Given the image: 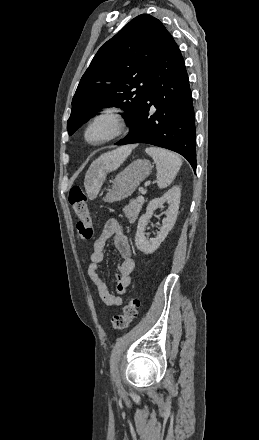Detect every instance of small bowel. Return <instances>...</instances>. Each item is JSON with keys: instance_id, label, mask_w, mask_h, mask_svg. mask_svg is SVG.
I'll return each mask as SVG.
<instances>
[{"instance_id": "obj_1", "label": "small bowel", "mask_w": 259, "mask_h": 440, "mask_svg": "<svg viewBox=\"0 0 259 440\" xmlns=\"http://www.w3.org/2000/svg\"><path fill=\"white\" fill-rule=\"evenodd\" d=\"M110 238L113 239L114 246L120 255L115 293L111 291L101 272L106 244ZM134 268L135 261L132 258V249L124 228L117 219L111 218L105 223L102 232L93 243V251L87 270L90 280L95 285L99 297L105 305L117 306L122 303V297L131 284Z\"/></svg>"}]
</instances>
